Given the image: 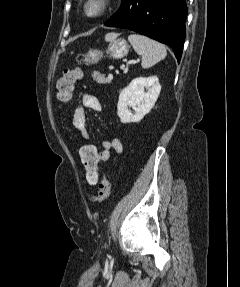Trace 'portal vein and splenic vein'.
<instances>
[{"mask_svg":"<svg viewBox=\"0 0 240 287\" xmlns=\"http://www.w3.org/2000/svg\"><path fill=\"white\" fill-rule=\"evenodd\" d=\"M137 61H139V59H138ZM108 78H109L110 80L113 79V75L110 73V74L108 75Z\"/></svg>","mask_w":240,"mask_h":287,"instance_id":"portal-vein-and-splenic-vein-1","label":"portal vein and splenic vein"}]
</instances>
